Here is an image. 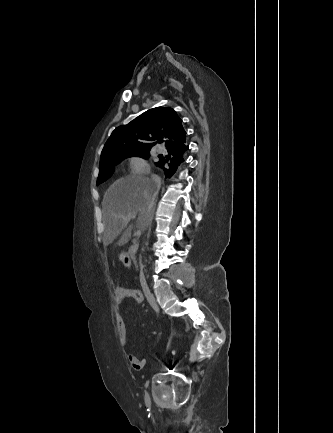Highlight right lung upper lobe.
Returning <instances> with one entry per match:
<instances>
[{
    "instance_id": "right-lung-upper-lobe-1",
    "label": "right lung upper lobe",
    "mask_w": 333,
    "mask_h": 433,
    "mask_svg": "<svg viewBox=\"0 0 333 433\" xmlns=\"http://www.w3.org/2000/svg\"><path fill=\"white\" fill-rule=\"evenodd\" d=\"M163 139L168 151L185 145L186 132L182 120L172 108H152L129 124L117 127L107 140L100 160L112 154L151 149Z\"/></svg>"
}]
</instances>
